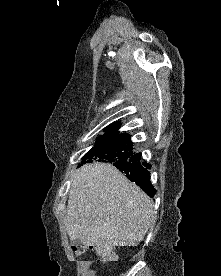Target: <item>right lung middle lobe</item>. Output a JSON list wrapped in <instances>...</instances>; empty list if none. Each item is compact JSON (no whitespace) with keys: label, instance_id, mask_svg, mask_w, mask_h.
<instances>
[{"label":"right lung middle lobe","instance_id":"1","mask_svg":"<svg viewBox=\"0 0 221 276\" xmlns=\"http://www.w3.org/2000/svg\"><path fill=\"white\" fill-rule=\"evenodd\" d=\"M132 144L130 136L125 134L99 136L94 147L82 158L80 165L93 161L113 163L127 159L133 154Z\"/></svg>","mask_w":221,"mask_h":276}]
</instances>
